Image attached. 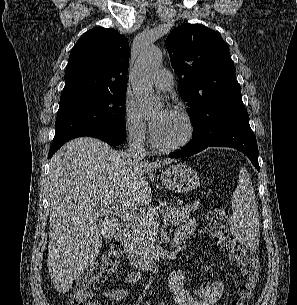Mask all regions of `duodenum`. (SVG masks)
<instances>
[{
  "label": "duodenum",
  "mask_w": 297,
  "mask_h": 305,
  "mask_svg": "<svg viewBox=\"0 0 297 305\" xmlns=\"http://www.w3.org/2000/svg\"><path fill=\"white\" fill-rule=\"evenodd\" d=\"M117 233V242L125 258L132 266L148 272H157L160 270L161 265L156 257H145L137 251L130 228L127 224L119 223L117 225ZM188 236L189 232L186 230L177 231L173 239V245H180Z\"/></svg>",
  "instance_id": "1"
}]
</instances>
